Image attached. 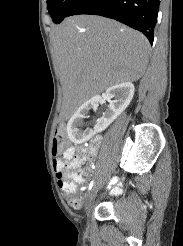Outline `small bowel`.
Wrapping results in <instances>:
<instances>
[{"label":"small bowel","mask_w":183,"mask_h":246,"mask_svg":"<svg viewBox=\"0 0 183 246\" xmlns=\"http://www.w3.org/2000/svg\"><path fill=\"white\" fill-rule=\"evenodd\" d=\"M101 143L100 137H95L89 147H82L79 153H76V149L73 146L68 147L61 159L54 161V170L57 175L59 187L67 194H72L74 189H70L69 175L72 171L79 168L80 165L90 156L94 155L98 146ZM115 179L119 178L118 174L114 175ZM83 182V178L80 176L79 183ZM113 185H116V180H107V184H103V189H112ZM84 187H81L83 190ZM121 192L120 186H116L112 189L113 194H119Z\"/></svg>","instance_id":"1"}]
</instances>
